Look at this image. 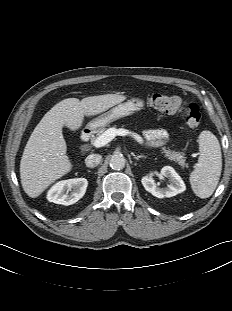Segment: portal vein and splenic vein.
<instances>
[{
	"label": "portal vein and splenic vein",
	"mask_w": 232,
	"mask_h": 311,
	"mask_svg": "<svg viewBox=\"0 0 232 311\" xmlns=\"http://www.w3.org/2000/svg\"><path fill=\"white\" fill-rule=\"evenodd\" d=\"M126 135L133 137L140 144L144 143L143 138L135 132L123 128L120 129L110 128L106 130L101 136H99L93 142V146L96 148H100L108 144L110 141H112L116 136H126Z\"/></svg>",
	"instance_id": "1"
}]
</instances>
